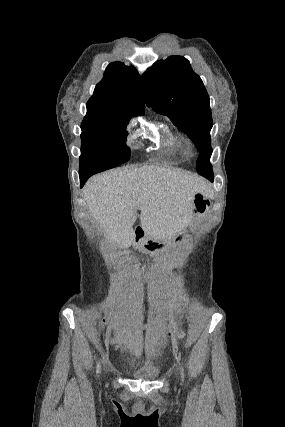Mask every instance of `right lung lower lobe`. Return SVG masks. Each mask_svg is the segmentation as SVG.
Returning a JSON list of instances; mask_svg holds the SVG:
<instances>
[{
	"label": "right lung lower lobe",
	"mask_w": 285,
	"mask_h": 427,
	"mask_svg": "<svg viewBox=\"0 0 285 427\" xmlns=\"http://www.w3.org/2000/svg\"><path fill=\"white\" fill-rule=\"evenodd\" d=\"M93 174L95 173L94 172L79 173L81 186H83L84 183L87 181V179Z\"/></svg>",
	"instance_id": "1"
}]
</instances>
